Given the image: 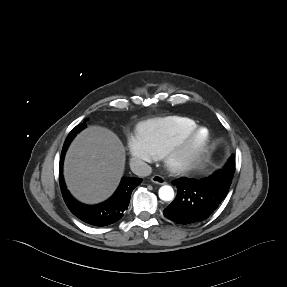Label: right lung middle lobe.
Returning a JSON list of instances; mask_svg holds the SVG:
<instances>
[{"label":"right lung middle lobe","mask_w":287,"mask_h":287,"mask_svg":"<svg viewBox=\"0 0 287 287\" xmlns=\"http://www.w3.org/2000/svg\"><path fill=\"white\" fill-rule=\"evenodd\" d=\"M81 127V124L76 126L70 133H75Z\"/></svg>","instance_id":"right-lung-middle-lobe-1"}]
</instances>
